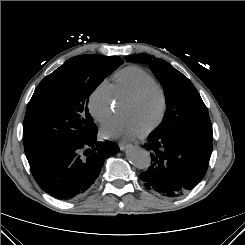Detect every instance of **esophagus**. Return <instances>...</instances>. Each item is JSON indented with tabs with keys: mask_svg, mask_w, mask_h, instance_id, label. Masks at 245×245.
<instances>
[{
	"mask_svg": "<svg viewBox=\"0 0 245 245\" xmlns=\"http://www.w3.org/2000/svg\"><path fill=\"white\" fill-rule=\"evenodd\" d=\"M120 150H125L128 147V144L125 142H119Z\"/></svg>",
	"mask_w": 245,
	"mask_h": 245,
	"instance_id": "esophagus-1",
	"label": "esophagus"
}]
</instances>
